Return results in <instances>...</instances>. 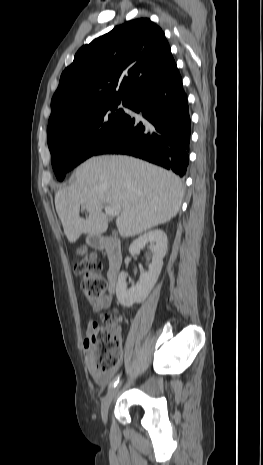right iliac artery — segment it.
I'll return each instance as SVG.
<instances>
[{
  "label": "right iliac artery",
  "instance_id": "obj_1",
  "mask_svg": "<svg viewBox=\"0 0 263 465\" xmlns=\"http://www.w3.org/2000/svg\"><path fill=\"white\" fill-rule=\"evenodd\" d=\"M120 376H121V374H118V375L110 382L108 389H111V388H113V387H115V386L117 385V383L119 382Z\"/></svg>",
  "mask_w": 263,
  "mask_h": 465
}]
</instances>
